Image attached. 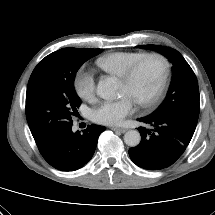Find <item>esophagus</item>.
<instances>
[{
  "label": "esophagus",
  "mask_w": 215,
  "mask_h": 215,
  "mask_svg": "<svg viewBox=\"0 0 215 215\" xmlns=\"http://www.w3.org/2000/svg\"><path fill=\"white\" fill-rule=\"evenodd\" d=\"M112 130L119 131L121 133H125L127 131L126 128L112 127Z\"/></svg>",
  "instance_id": "esophagus-1"
}]
</instances>
